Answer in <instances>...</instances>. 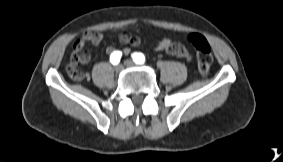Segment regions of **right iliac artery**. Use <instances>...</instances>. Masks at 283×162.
<instances>
[{"label":"right iliac artery","instance_id":"1","mask_svg":"<svg viewBox=\"0 0 283 162\" xmlns=\"http://www.w3.org/2000/svg\"><path fill=\"white\" fill-rule=\"evenodd\" d=\"M122 53L120 51H114L111 55H110V62L113 65H116L120 62Z\"/></svg>","mask_w":283,"mask_h":162}]
</instances>
